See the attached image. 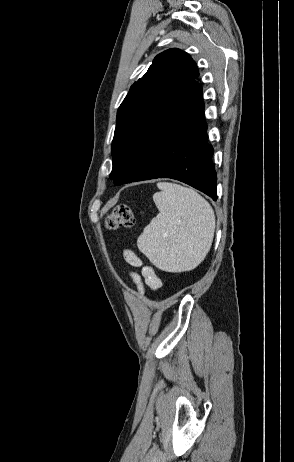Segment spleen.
I'll list each match as a JSON object with an SVG mask.
<instances>
[{"label":"spleen","instance_id":"obj_1","mask_svg":"<svg viewBox=\"0 0 294 462\" xmlns=\"http://www.w3.org/2000/svg\"><path fill=\"white\" fill-rule=\"evenodd\" d=\"M153 195L159 214L137 239L139 250L159 269L184 272L197 267L209 252L215 231L210 204L195 190L169 182Z\"/></svg>","mask_w":294,"mask_h":462}]
</instances>
